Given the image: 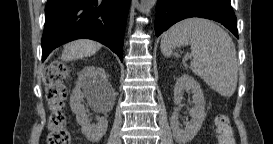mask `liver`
Masks as SVG:
<instances>
[{
    "label": "liver",
    "mask_w": 273,
    "mask_h": 144,
    "mask_svg": "<svg viewBox=\"0 0 273 144\" xmlns=\"http://www.w3.org/2000/svg\"><path fill=\"white\" fill-rule=\"evenodd\" d=\"M99 42L89 39H79L65 45L62 60L72 61L94 55L101 49Z\"/></svg>",
    "instance_id": "6515ba94"
}]
</instances>
